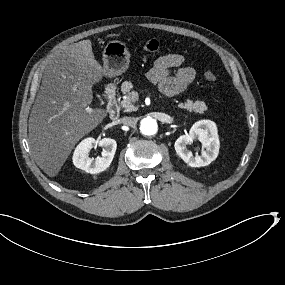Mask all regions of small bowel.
<instances>
[{
  "label": "small bowel",
  "mask_w": 285,
  "mask_h": 285,
  "mask_svg": "<svg viewBox=\"0 0 285 285\" xmlns=\"http://www.w3.org/2000/svg\"><path fill=\"white\" fill-rule=\"evenodd\" d=\"M184 57L170 53L156 59L148 71V78L159 85L162 94L173 96L185 91L195 80L196 72L184 65Z\"/></svg>",
  "instance_id": "c3829d8e"
}]
</instances>
